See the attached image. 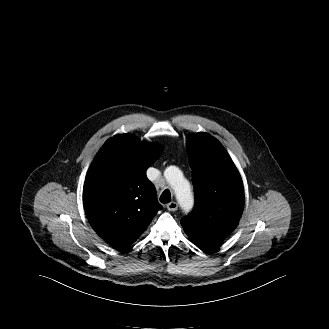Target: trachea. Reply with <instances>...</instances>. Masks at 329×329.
<instances>
[{
    "mask_svg": "<svg viewBox=\"0 0 329 329\" xmlns=\"http://www.w3.org/2000/svg\"><path fill=\"white\" fill-rule=\"evenodd\" d=\"M171 201V193L168 189L164 190L160 196L161 203H169Z\"/></svg>",
    "mask_w": 329,
    "mask_h": 329,
    "instance_id": "3493384b",
    "label": "trachea"
}]
</instances>
